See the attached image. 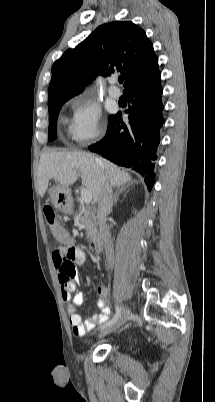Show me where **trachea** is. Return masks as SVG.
<instances>
[{
    "label": "trachea",
    "mask_w": 215,
    "mask_h": 402,
    "mask_svg": "<svg viewBox=\"0 0 215 402\" xmlns=\"http://www.w3.org/2000/svg\"><path fill=\"white\" fill-rule=\"evenodd\" d=\"M123 81H124V78H123V77H119V82H120V83H123Z\"/></svg>",
    "instance_id": "trachea-1"
}]
</instances>
